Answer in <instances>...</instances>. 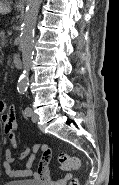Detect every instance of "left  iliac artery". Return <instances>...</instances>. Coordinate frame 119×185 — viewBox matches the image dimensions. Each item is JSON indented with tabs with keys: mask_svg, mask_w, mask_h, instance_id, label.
Returning <instances> with one entry per match:
<instances>
[{
	"mask_svg": "<svg viewBox=\"0 0 119 185\" xmlns=\"http://www.w3.org/2000/svg\"><path fill=\"white\" fill-rule=\"evenodd\" d=\"M24 114H25L26 116H30V115H31V108H29V107L25 108Z\"/></svg>",
	"mask_w": 119,
	"mask_h": 185,
	"instance_id": "left-iliac-artery-1",
	"label": "left iliac artery"
}]
</instances>
